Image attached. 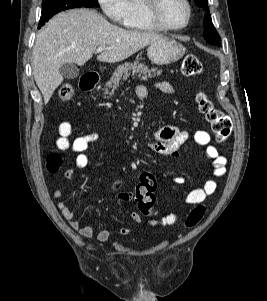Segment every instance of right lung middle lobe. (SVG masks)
I'll return each instance as SVG.
<instances>
[{
    "label": "right lung middle lobe",
    "mask_w": 267,
    "mask_h": 301,
    "mask_svg": "<svg viewBox=\"0 0 267 301\" xmlns=\"http://www.w3.org/2000/svg\"><path fill=\"white\" fill-rule=\"evenodd\" d=\"M96 6L97 0H43L39 27L43 26L58 12L74 8H92Z\"/></svg>",
    "instance_id": "right-lung-middle-lobe-1"
}]
</instances>
